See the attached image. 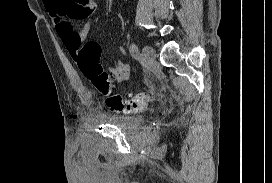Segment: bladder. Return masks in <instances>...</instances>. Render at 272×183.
I'll return each instance as SVG.
<instances>
[{
	"instance_id": "31cf9c89",
	"label": "bladder",
	"mask_w": 272,
	"mask_h": 183,
	"mask_svg": "<svg viewBox=\"0 0 272 183\" xmlns=\"http://www.w3.org/2000/svg\"><path fill=\"white\" fill-rule=\"evenodd\" d=\"M102 121L106 124L119 127L121 129H135L141 124V118L136 116H126L112 114L104 117Z\"/></svg>"
}]
</instances>
